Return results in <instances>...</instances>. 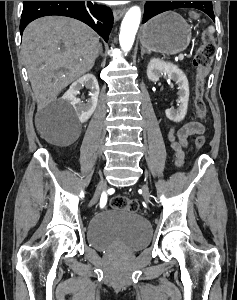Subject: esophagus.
Listing matches in <instances>:
<instances>
[{
	"label": "esophagus",
	"instance_id": "obj_1",
	"mask_svg": "<svg viewBox=\"0 0 237 300\" xmlns=\"http://www.w3.org/2000/svg\"><path fill=\"white\" fill-rule=\"evenodd\" d=\"M126 8H116L113 10L115 21H118L125 14Z\"/></svg>",
	"mask_w": 237,
	"mask_h": 300
}]
</instances>
